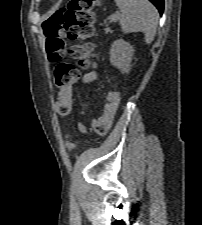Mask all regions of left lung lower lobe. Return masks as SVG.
I'll list each match as a JSON object with an SVG mask.
<instances>
[{"label":"left lung lower lobe","instance_id":"0a47b994","mask_svg":"<svg viewBox=\"0 0 202 225\" xmlns=\"http://www.w3.org/2000/svg\"><path fill=\"white\" fill-rule=\"evenodd\" d=\"M152 2L156 8L159 10L160 14L162 15L164 9V0H149Z\"/></svg>","mask_w":202,"mask_h":225}]
</instances>
